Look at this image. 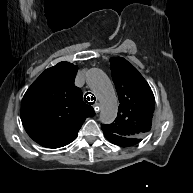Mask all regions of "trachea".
<instances>
[{"label": "trachea", "mask_w": 193, "mask_h": 193, "mask_svg": "<svg viewBox=\"0 0 193 193\" xmlns=\"http://www.w3.org/2000/svg\"><path fill=\"white\" fill-rule=\"evenodd\" d=\"M89 94H92V93L88 92V93L85 94V102L92 105V104L95 103L96 99H94L95 97H93V96H87ZM86 96H87V98H86ZM88 101H91V102H88Z\"/></svg>", "instance_id": "trachea-1"}]
</instances>
